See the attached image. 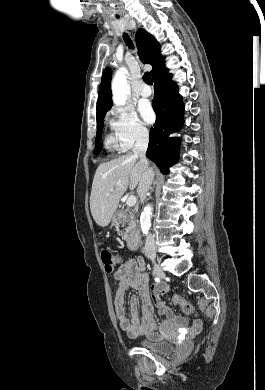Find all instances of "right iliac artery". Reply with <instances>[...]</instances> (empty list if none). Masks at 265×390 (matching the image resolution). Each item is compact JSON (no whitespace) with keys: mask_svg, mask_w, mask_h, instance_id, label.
<instances>
[{"mask_svg":"<svg viewBox=\"0 0 265 390\" xmlns=\"http://www.w3.org/2000/svg\"><path fill=\"white\" fill-rule=\"evenodd\" d=\"M156 282H160V279L158 277H155L154 279Z\"/></svg>","mask_w":265,"mask_h":390,"instance_id":"right-iliac-artery-1","label":"right iliac artery"}]
</instances>
